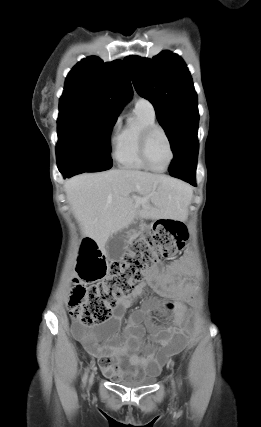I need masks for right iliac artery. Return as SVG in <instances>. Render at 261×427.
<instances>
[{"label":"right iliac artery","mask_w":261,"mask_h":427,"mask_svg":"<svg viewBox=\"0 0 261 427\" xmlns=\"http://www.w3.org/2000/svg\"><path fill=\"white\" fill-rule=\"evenodd\" d=\"M86 379H87V374H85V376H84V382L86 381Z\"/></svg>","instance_id":"82829eb1"}]
</instances>
